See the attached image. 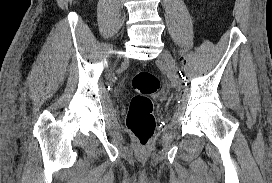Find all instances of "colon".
<instances>
[{
	"label": "colon",
	"mask_w": 272,
	"mask_h": 183,
	"mask_svg": "<svg viewBox=\"0 0 272 183\" xmlns=\"http://www.w3.org/2000/svg\"><path fill=\"white\" fill-rule=\"evenodd\" d=\"M132 87L136 94L132 97L126 126L139 146L145 147L155 132V117L151 97L160 88L159 78L150 71H139L132 78Z\"/></svg>",
	"instance_id": "colon-1"
}]
</instances>
